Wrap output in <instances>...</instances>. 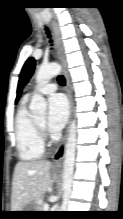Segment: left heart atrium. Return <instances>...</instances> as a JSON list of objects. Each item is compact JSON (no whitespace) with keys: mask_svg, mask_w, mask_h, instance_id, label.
<instances>
[{"mask_svg":"<svg viewBox=\"0 0 123 219\" xmlns=\"http://www.w3.org/2000/svg\"><path fill=\"white\" fill-rule=\"evenodd\" d=\"M68 117V103L62 94H54L48 99L47 124L51 131L63 128Z\"/></svg>","mask_w":123,"mask_h":219,"instance_id":"1","label":"left heart atrium"}]
</instances>
